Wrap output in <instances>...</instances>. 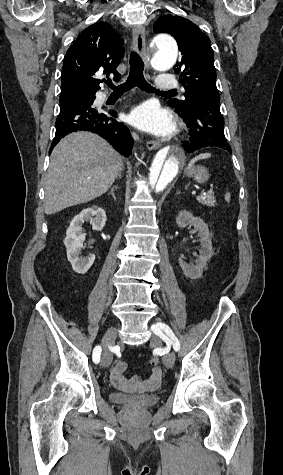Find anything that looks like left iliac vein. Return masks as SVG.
Here are the masks:
<instances>
[{"mask_svg": "<svg viewBox=\"0 0 283 475\" xmlns=\"http://www.w3.org/2000/svg\"><path fill=\"white\" fill-rule=\"evenodd\" d=\"M154 327H156V324L153 325ZM158 331L160 332L161 336L165 337L164 333L162 332L161 329L157 328ZM159 335L156 334V336H152V343L153 345L157 346V347H160L161 346V340H160V337ZM162 362L163 364L167 367V368H172L173 365H174V362H175V355H174V352H171L167 355H164L162 357Z\"/></svg>", "mask_w": 283, "mask_h": 475, "instance_id": "1", "label": "left iliac vein"}]
</instances>
